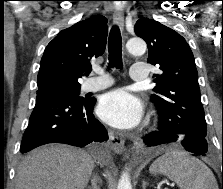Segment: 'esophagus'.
Listing matches in <instances>:
<instances>
[{
	"mask_svg": "<svg viewBox=\"0 0 223 189\" xmlns=\"http://www.w3.org/2000/svg\"><path fill=\"white\" fill-rule=\"evenodd\" d=\"M114 24L123 31L124 29V15L122 10H115L113 13ZM109 139L112 150L117 154H122L125 158L129 157V153L125 148L124 141L115 136L112 131L109 132Z\"/></svg>",
	"mask_w": 223,
	"mask_h": 189,
	"instance_id": "obj_1",
	"label": "esophagus"
}]
</instances>
